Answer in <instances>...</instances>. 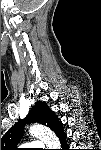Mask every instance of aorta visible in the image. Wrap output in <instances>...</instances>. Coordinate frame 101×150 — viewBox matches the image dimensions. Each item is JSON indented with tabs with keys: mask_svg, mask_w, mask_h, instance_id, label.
<instances>
[{
	"mask_svg": "<svg viewBox=\"0 0 101 150\" xmlns=\"http://www.w3.org/2000/svg\"><path fill=\"white\" fill-rule=\"evenodd\" d=\"M29 133L32 136L40 138L49 148H59L60 142L58 137L46 126L33 125L30 127Z\"/></svg>",
	"mask_w": 101,
	"mask_h": 150,
	"instance_id": "aorta-1",
	"label": "aorta"
}]
</instances>
